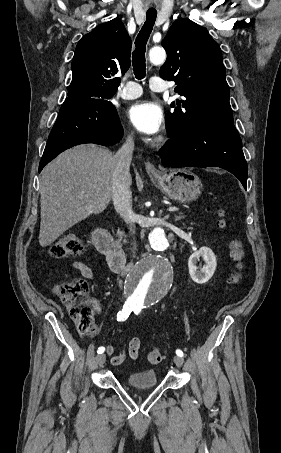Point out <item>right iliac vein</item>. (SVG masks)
<instances>
[{
    "mask_svg": "<svg viewBox=\"0 0 281 453\" xmlns=\"http://www.w3.org/2000/svg\"><path fill=\"white\" fill-rule=\"evenodd\" d=\"M106 362V356L104 355V353H102V355H99L97 356V368H100L102 365H104Z\"/></svg>",
    "mask_w": 281,
    "mask_h": 453,
    "instance_id": "1",
    "label": "right iliac vein"
}]
</instances>
